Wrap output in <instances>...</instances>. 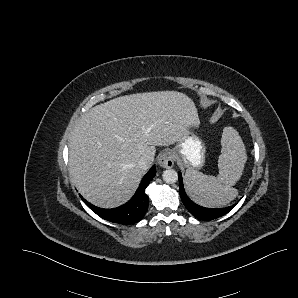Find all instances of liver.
<instances>
[{"label": "liver", "mask_w": 298, "mask_h": 298, "mask_svg": "<svg viewBox=\"0 0 298 298\" xmlns=\"http://www.w3.org/2000/svg\"><path fill=\"white\" fill-rule=\"evenodd\" d=\"M194 101L166 90L117 97L92 107L76 124L69 143V172L90 203L117 207L134 194L154 161L156 146L176 144L189 127L199 128Z\"/></svg>", "instance_id": "liver-1"}]
</instances>
